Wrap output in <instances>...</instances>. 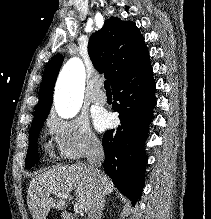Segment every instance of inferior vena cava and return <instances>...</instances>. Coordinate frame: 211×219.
<instances>
[{"instance_id": "inferior-vena-cava-1", "label": "inferior vena cava", "mask_w": 211, "mask_h": 219, "mask_svg": "<svg viewBox=\"0 0 211 219\" xmlns=\"http://www.w3.org/2000/svg\"><path fill=\"white\" fill-rule=\"evenodd\" d=\"M88 166L92 172V175L97 179L100 178V170L104 160V151L102 144L97 139H91L89 142V148L86 153ZM105 202V193L100 185H97L93 200L88 209V219H100L102 209Z\"/></svg>"}]
</instances>
